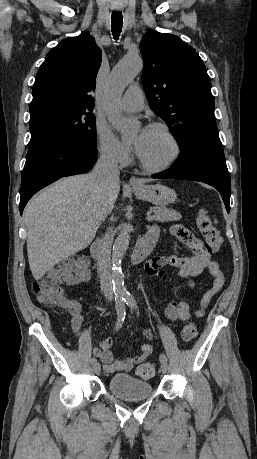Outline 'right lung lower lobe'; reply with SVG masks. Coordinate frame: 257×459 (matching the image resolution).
Returning <instances> with one entry per match:
<instances>
[{"label":"right lung lower lobe","mask_w":257,"mask_h":459,"mask_svg":"<svg viewBox=\"0 0 257 459\" xmlns=\"http://www.w3.org/2000/svg\"><path fill=\"white\" fill-rule=\"evenodd\" d=\"M97 155V147L91 145L52 137L31 138L21 178V215L36 192L61 177L89 171Z\"/></svg>","instance_id":"right-lung-lower-lobe-1"}]
</instances>
